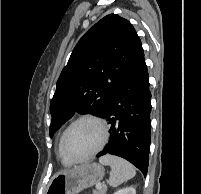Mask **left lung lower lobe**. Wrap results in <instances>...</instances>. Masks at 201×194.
<instances>
[{"label":"left lung lower lobe","mask_w":201,"mask_h":194,"mask_svg":"<svg viewBox=\"0 0 201 194\" xmlns=\"http://www.w3.org/2000/svg\"><path fill=\"white\" fill-rule=\"evenodd\" d=\"M143 49L108 102L103 114L110 124L111 139L97 156L112 154L136 166L146 176L151 141V92Z\"/></svg>","instance_id":"obj_1"}]
</instances>
